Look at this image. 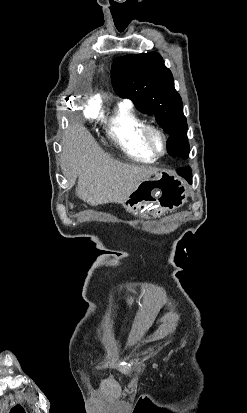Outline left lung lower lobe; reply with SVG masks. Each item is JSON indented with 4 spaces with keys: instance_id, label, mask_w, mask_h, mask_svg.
Masks as SVG:
<instances>
[{
    "instance_id": "1",
    "label": "left lung lower lobe",
    "mask_w": 247,
    "mask_h": 413,
    "mask_svg": "<svg viewBox=\"0 0 247 413\" xmlns=\"http://www.w3.org/2000/svg\"><path fill=\"white\" fill-rule=\"evenodd\" d=\"M177 173L184 177L189 183L192 182V172L190 167L180 168L177 170Z\"/></svg>"
}]
</instances>
